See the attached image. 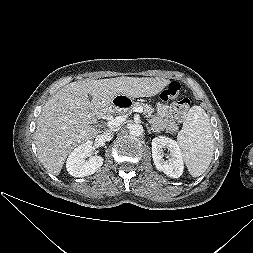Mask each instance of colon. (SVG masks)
<instances>
[{"label":"colon","instance_id":"obj_1","mask_svg":"<svg viewBox=\"0 0 253 253\" xmlns=\"http://www.w3.org/2000/svg\"><path fill=\"white\" fill-rule=\"evenodd\" d=\"M181 89V85L178 82H172L169 87L164 90L161 94V99L168 100L178 96ZM190 100L188 98H183L175 103L176 105V114L179 118L184 119L187 111L190 107Z\"/></svg>","mask_w":253,"mask_h":253}]
</instances>
